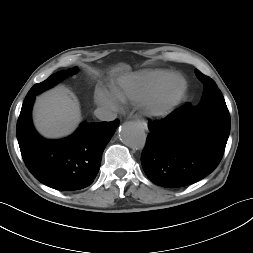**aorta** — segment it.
I'll return each instance as SVG.
<instances>
[{
	"label": "aorta",
	"mask_w": 253,
	"mask_h": 253,
	"mask_svg": "<svg viewBox=\"0 0 253 253\" xmlns=\"http://www.w3.org/2000/svg\"><path fill=\"white\" fill-rule=\"evenodd\" d=\"M120 140L132 149H142L146 143L144 127L135 121L125 122L119 130Z\"/></svg>",
	"instance_id": "obj_1"
}]
</instances>
